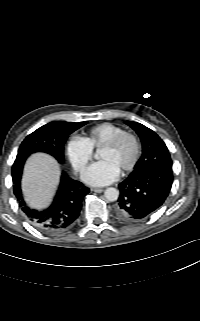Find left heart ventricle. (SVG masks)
I'll return each mask as SVG.
<instances>
[{
	"mask_svg": "<svg viewBox=\"0 0 200 321\" xmlns=\"http://www.w3.org/2000/svg\"><path fill=\"white\" fill-rule=\"evenodd\" d=\"M134 154V144L131 139H123L112 149L102 148L98 153L101 160L110 161L119 171L129 164Z\"/></svg>",
	"mask_w": 200,
	"mask_h": 321,
	"instance_id": "1",
	"label": "left heart ventricle"
}]
</instances>
